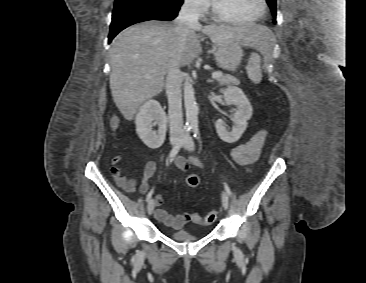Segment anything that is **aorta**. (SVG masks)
Segmentation results:
<instances>
[{
  "instance_id": "aorta-1",
  "label": "aorta",
  "mask_w": 366,
  "mask_h": 283,
  "mask_svg": "<svg viewBox=\"0 0 366 283\" xmlns=\"http://www.w3.org/2000/svg\"><path fill=\"white\" fill-rule=\"evenodd\" d=\"M184 105L186 110V125L189 127H197L199 108L196 103L191 81L184 83Z\"/></svg>"
}]
</instances>
